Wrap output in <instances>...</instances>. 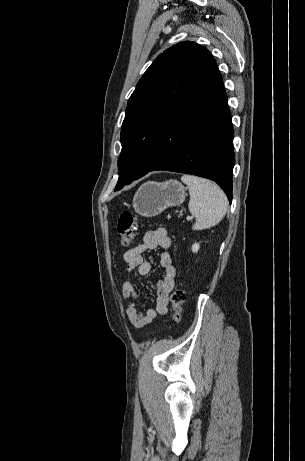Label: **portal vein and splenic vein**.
Returning a JSON list of instances; mask_svg holds the SVG:
<instances>
[{"label": "portal vein and splenic vein", "mask_w": 305, "mask_h": 461, "mask_svg": "<svg viewBox=\"0 0 305 461\" xmlns=\"http://www.w3.org/2000/svg\"><path fill=\"white\" fill-rule=\"evenodd\" d=\"M186 219H187L188 221H190V220H192V217H190V216H187V218H186Z\"/></svg>", "instance_id": "portal-vein-and-splenic-vein-1"}]
</instances>
